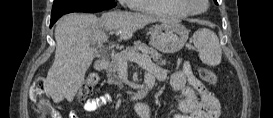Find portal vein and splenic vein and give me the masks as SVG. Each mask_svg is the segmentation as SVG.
Wrapping results in <instances>:
<instances>
[{
    "mask_svg": "<svg viewBox=\"0 0 273 118\" xmlns=\"http://www.w3.org/2000/svg\"><path fill=\"white\" fill-rule=\"evenodd\" d=\"M113 32H111V34H112ZM94 43H98V42H94ZM101 45H102V43H98L97 44V47H99V48H101ZM116 55H118V54H116ZM148 59V57L147 56H144V55H141V54H139V53H134V52H132V53H127L126 55H125V57H124V60L125 61H132V62H136V63H138V64H140V65H143L144 64V62L146 61ZM127 65V63H124V65L123 66H126Z\"/></svg>",
    "mask_w": 273,
    "mask_h": 118,
    "instance_id": "obj_1",
    "label": "portal vein and splenic vein"
}]
</instances>
